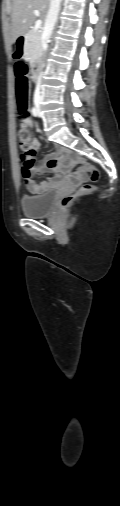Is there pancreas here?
<instances>
[{"label": "pancreas", "mask_w": 120, "mask_h": 506, "mask_svg": "<svg viewBox=\"0 0 120 506\" xmlns=\"http://www.w3.org/2000/svg\"><path fill=\"white\" fill-rule=\"evenodd\" d=\"M42 55L41 33L33 30L28 31L25 37L24 57L34 62Z\"/></svg>", "instance_id": "pancreas-1"}]
</instances>
